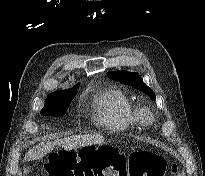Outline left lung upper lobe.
Here are the masks:
<instances>
[{
  "label": "left lung upper lobe",
  "instance_id": "left-lung-upper-lobe-1",
  "mask_svg": "<svg viewBox=\"0 0 205 176\" xmlns=\"http://www.w3.org/2000/svg\"><path fill=\"white\" fill-rule=\"evenodd\" d=\"M108 75L124 84H128L133 88L143 91L155 100V93L143 81L137 72H127L124 70L108 72Z\"/></svg>",
  "mask_w": 205,
  "mask_h": 176
}]
</instances>
